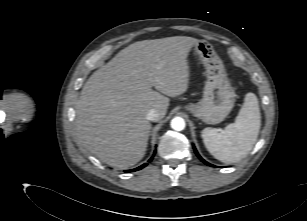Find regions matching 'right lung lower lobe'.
<instances>
[{
	"label": "right lung lower lobe",
	"instance_id": "obj_1",
	"mask_svg": "<svg viewBox=\"0 0 307 221\" xmlns=\"http://www.w3.org/2000/svg\"><path fill=\"white\" fill-rule=\"evenodd\" d=\"M152 160V158L149 160V162ZM147 165V163L143 164L142 166L138 167V168H135V169H132V170H126L125 172H133V171H137V170H140L142 169L143 167H145Z\"/></svg>",
	"mask_w": 307,
	"mask_h": 221
}]
</instances>
